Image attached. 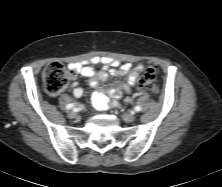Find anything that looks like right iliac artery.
<instances>
[{
    "label": "right iliac artery",
    "instance_id": "right-iliac-artery-1",
    "mask_svg": "<svg viewBox=\"0 0 222 187\" xmlns=\"http://www.w3.org/2000/svg\"><path fill=\"white\" fill-rule=\"evenodd\" d=\"M76 104H77V103H70V104H68V105L66 106V109H67V110H70V109H72L74 106H76Z\"/></svg>",
    "mask_w": 222,
    "mask_h": 187
}]
</instances>
